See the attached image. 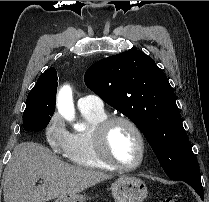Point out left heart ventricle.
I'll return each instance as SVG.
<instances>
[{
	"instance_id": "b2bd125f",
	"label": "left heart ventricle",
	"mask_w": 209,
	"mask_h": 202,
	"mask_svg": "<svg viewBox=\"0 0 209 202\" xmlns=\"http://www.w3.org/2000/svg\"><path fill=\"white\" fill-rule=\"evenodd\" d=\"M108 149L114 160L134 165L139 160L140 142L133 129L124 123L115 124L108 135Z\"/></svg>"
}]
</instances>
